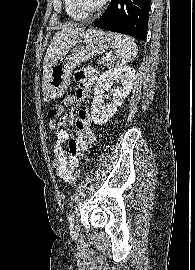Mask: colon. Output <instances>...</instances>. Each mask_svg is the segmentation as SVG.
<instances>
[{
  "label": "colon",
  "mask_w": 195,
  "mask_h": 270,
  "mask_svg": "<svg viewBox=\"0 0 195 270\" xmlns=\"http://www.w3.org/2000/svg\"><path fill=\"white\" fill-rule=\"evenodd\" d=\"M64 110L63 104H56L52 106L48 111V118L49 120H58L62 112ZM80 177V169H77L68 179L67 182L69 184H74Z\"/></svg>",
  "instance_id": "5ec220e1"
}]
</instances>
